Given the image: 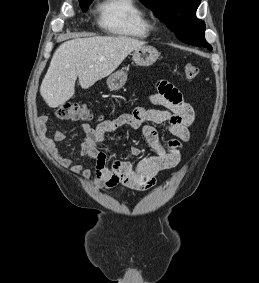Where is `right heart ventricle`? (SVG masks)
<instances>
[{
    "label": "right heart ventricle",
    "mask_w": 259,
    "mask_h": 283,
    "mask_svg": "<svg viewBox=\"0 0 259 283\" xmlns=\"http://www.w3.org/2000/svg\"><path fill=\"white\" fill-rule=\"evenodd\" d=\"M100 12L102 26L112 34L138 39L151 34L152 22L136 0H105Z\"/></svg>",
    "instance_id": "obj_1"
}]
</instances>
